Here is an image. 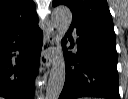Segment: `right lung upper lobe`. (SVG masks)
Instances as JSON below:
<instances>
[{"mask_svg":"<svg viewBox=\"0 0 128 99\" xmlns=\"http://www.w3.org/2000/svg\"><path fill=\"white\" fill-rule=\"evenodd\" d=\"M35 16L32 0H0V34Z\"/></svg>","mask_w":128,"mask_h":99,"instance_id":"1","label":"right lung upper lobe"}]
</instances>
